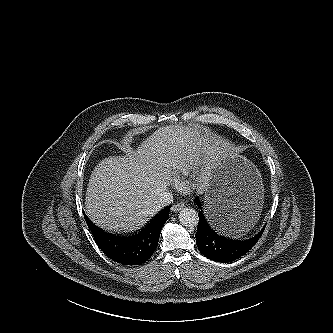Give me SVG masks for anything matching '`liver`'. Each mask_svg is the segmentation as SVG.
Here are the masks:
<instances>
[{
	"label": "liver",
	"mask_w": 333,
	"mask_h": 333,
	"mask_svg": "<svg viewBox=\"0 0 333 333\" xmlns=\"http://www.w3.org/2000/svg\"><path fill=\"white\" fill-rule=\"evenodd\" d=\"M215 146L203 126L160 127L136 150L97 164L86 191V215L108 231L140 229L159 211L155 201L180 172L202 165L197 192H205Z\"/></svg>",
	"instance_id": "liver-1"
}]
</instances>
